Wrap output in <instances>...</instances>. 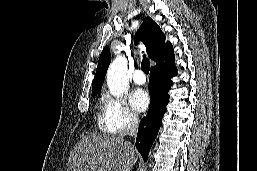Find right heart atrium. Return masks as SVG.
<instances>
[{
    "label": "right heart atrium",
    "mask_w": 257,
    "mask_h": 171,
    "mask_svg": "<svg viewBox=\"0 0 257 171\" xmlns=\"http://www.w3.org/2000/svg\"><path fill=\"white\" fill-rule=\"evenodd\" d=\"M102 115L113 132H122L136 126L139 116L122 96L105 95Z\"/></svg>",
    "instance_id": "1"
}]
</instances>
